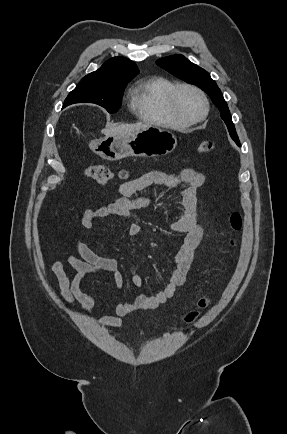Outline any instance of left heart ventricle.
<instances>
[{"mask_svg":"<svg viewBox=\"0 0 287 434\" xmlns=\"http://www.w3.org/2000/svg\"><path fill=\"white\" fill-rule=\"evenodd\" d=\"M177 109L184 118L196 119L203 112V104L195 92L185 89L178 94Z\"/></svg>","mask_w":287,"mask_h":434,"instance_id":"left-heart-ventricle-1","label":"left heart ventricle"}]
</instances>
